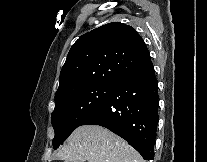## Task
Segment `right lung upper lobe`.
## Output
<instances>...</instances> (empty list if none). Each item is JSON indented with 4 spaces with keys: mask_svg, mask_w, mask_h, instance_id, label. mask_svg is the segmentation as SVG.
Masks as SVG:
<instances>
[{
    "mask_svg": "<svg viewBox=\"0 0 207 162\" xmlns=\"http://www.w3.org/2000/svg\"><path fill=\"white\" fill-rule=\"evenodd\" d=\"M150 61L149 51L133 27L120 22L105 24L73 44L55 98L93 85L115 84Z\"/></svg>",
    "mask_w": 207,
    "mask_h": 162,
    "instance_id": "cb5924a9",
    "label": "right lung upper lobe"
}]
</instances>
